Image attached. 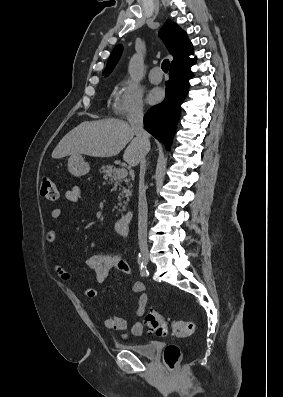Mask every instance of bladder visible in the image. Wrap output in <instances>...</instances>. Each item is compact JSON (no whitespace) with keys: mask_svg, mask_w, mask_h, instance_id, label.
Wrapping results in <instances>:
<instances>
[{"mask_svg":"<svg viewBox=\"0 0 283 397\" xmlns=\"http://www.w3.org/2000/svg\"><path fill=\"white\" fill-rule=\"evenodd\" d=\"M158 347H159V343L156 341H151L144 344L123 346V348H125L126 350L147 358L153 357L156 354Z\"/></svg>","mask_w":283,"mask_h":397,"instance_id":"obj_1","label":"bladder"}]
</instances>
